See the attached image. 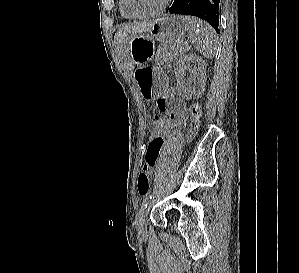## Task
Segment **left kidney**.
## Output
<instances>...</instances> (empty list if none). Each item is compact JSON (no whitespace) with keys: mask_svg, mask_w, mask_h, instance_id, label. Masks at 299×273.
<instances>
[{"mask_svg":"<svg viewBox=\"0 0 299 273\" xmlns=\"http://www.w3.org/2000/svg\"><path fill=\"white\" fill-rule=\"evenodd\" d=\"M193 64V68L190 67ZM186 69H191L192 73L197 77V85L194 88L189 87L183 82V75ZM177 90L186 98L198 97L205 89L206 83V63L196 55H183L179 58L175 65Z\"/></svg>","mask_w":299,"mask_h":273,"instance_id":"5707ae66","label":"left kidney"}]
</instances>
